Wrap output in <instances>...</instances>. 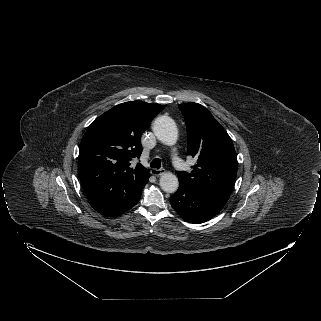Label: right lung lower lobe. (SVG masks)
Listing matches in <instances>:
<instances>
[{
	"mask_svg": "<svg viewBox=\"0 0 321 321\" xmlns=\"http://www.w3.org/2000/svg\"><path fill=\"white\" fill-rule=\"evenodd\" d=\"M143 187L132 195L124 197L114 196L90 202L92 207L102 215L108 217L119 216L138 203Z\"/></svg>",
	"mask_w": 321,
	"mask_h": 321,
	"instance_id": "1",
	"label": "right lung lower lobe"
}]
</instances>
